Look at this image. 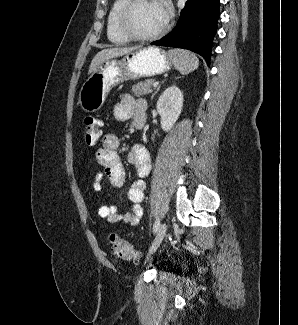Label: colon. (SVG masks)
I'll return each instance as SVG.
<instances>
[{
	"label": "colon",
	"mask_w": 298,
	"mask_h": 325,
	"mask_svg": "<svg viewBox=\"0 0 298 325\" xmlns=\"http://www.w3.org/2000/svg\"><path fill=\"white\" fill-rule=\"evenodd\" d=\"M102 121L93 116H87L84 119V142L86 145L94 146L102 134ZM113 254L123 260H135L138 258V252L126 240L118 237L116 234L109 236Z\"/></svg>",
	"instance_id": "obj_1"
}]
</instances>
